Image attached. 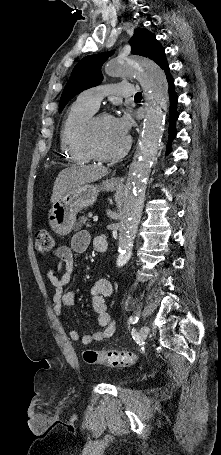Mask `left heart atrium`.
I'll return each mask as SVG.
<instances>
[{"mask_svg": "<svg viewBox=\"0 0 221 455\" xmlns=\"http://www.w3.org/2000/svg\"><path fill=\"white\" fill-rule=\"evenodd\" d=\"M114 120L120 133L123 134L124 136H127L132 124L130 115L124 113L122 116L114 118Z\"/></svg>", "mask_w": 221, "mask_h": 455, "instance_id": "obj_1", "label": "left heart atrium"}]
</instances>
